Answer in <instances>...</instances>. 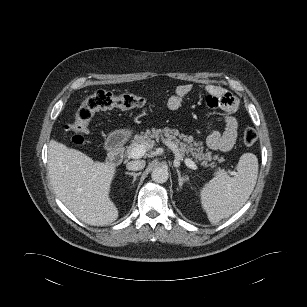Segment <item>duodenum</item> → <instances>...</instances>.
Instances as JSON below:
<instances>
[{
    "label": "duodenum",
    "mask_w": 307,
    "mask_h": 307,
    "mask_svg": "<svg viewBox=\"0 0 307 307\" xmlns=\"http://www.w3.org/2000/svg\"><path fill=\"white\" fill-rule=\"evenodd\" d=\"M125 138L123 134L117 133L112 135L107 141V163L118 165L124 157Z\"/></svg>",
    "instance_id": "obj_1"
}]
</instances>
